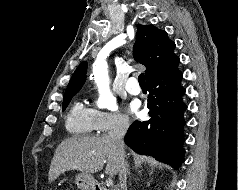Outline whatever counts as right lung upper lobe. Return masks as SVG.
I'll list each match as a JSON object with an SVG mask.
<instances>
[{
    "label": "right lung upper lobe",
    "instance_id": "obj_1",
    "mask_svg": "<svg viewBox=\"0 0 238 190\" xmlns=\"http://www.w3.org/2000/svg\"><path fill=\"white\" fill-rule=\"evenodd\" d=\"M174 48L175 43L168 38L166 31L153 25H137L133 56L137 62L146 66V81L166 70L178 59L174 54ZM86 71L87 63L82 62L75 70L65 95L77 93L81 89Z\"/></svg>",
    "mask_w": 238,
    "mask_h": 190
}]
</instances>
